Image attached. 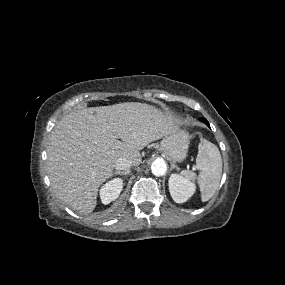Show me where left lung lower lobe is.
Returning a JSON list of instances; mask_svg holds the SVG:
<instances>
[{"label": "left lung lower lobe", "instance_id": "1", "mask_svg": "<svg viewBox=\"0 0 285 285\" xmlns=\"http://www.w3.org/2000/svg\"><path fill=\"white\" fill-rule=\"evenodd\" d=\"M200 120L209 126V123H208V121L206 119L200 118Z\"/></svg>", "mask_w": 285, "mask_h": 285}]
</instances>
